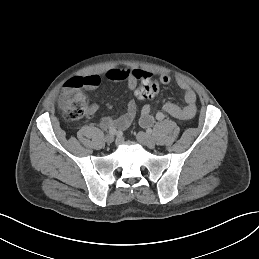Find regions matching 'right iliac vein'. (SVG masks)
<instances>
[{
  "mask_svg": "<svg viewBox=\"0 0 259 259\" xmlns=\"http://www.w3.org/2000/svg\"><path fill=\"white\" fill-rule=\"evenodd\" d=\"M105 141H106L108 144L112 143V142L114 141V136H113L112 134L106 135Z\"/></svg>",
  "mask_w": 259,
  "mask_h": 259,
  "instance_id": "obj_1",
  "label": "right iliac vein"
}]
</instances>
